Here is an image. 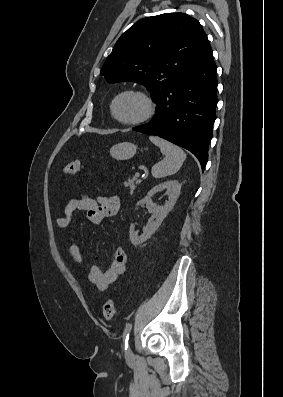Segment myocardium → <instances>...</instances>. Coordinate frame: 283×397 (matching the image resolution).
I'll return each mask as SVG.
<instances>
[{"label": "myocardium", "mask_w": 283, "mask_h": 397, "mask_svg": "<svg viewBox=\"0 0 283 397\" xmlns=\"http://www.w3.org/2000/svg\"><path fill=\"white\" fill-rule=\"evenodd\" d=\"M126 94L137 95V96L141 97L142 100L144 101L146 109H145L144 114L141 117L134 119V120H122L117 116L116 111H115L116 103L120 97H122L123 95H126ZM110 110H111L112 117L118 123L125 125V126H137V125H140V124L148 121L149 119H151L153 117V115L155 113V103H154L153 99L151 98V96L148 93H146L145 91H143L141 89L132 88V89L123 90V91L119 92L118 94H116L111 101Z\"/></svg>", "instance_id": "f54148a6"}]
</instances>
